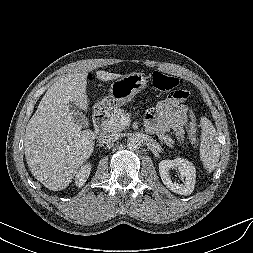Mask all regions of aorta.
Here are the masks:
<instances>
[{"label": "aorta", "mask_w": 253, "mask_h": 253, "mask_svg": "<svg viewBox=\"0 0 253 253\" xmlns=\"http://www.w3.org/2000/svg\"><path fill=\"white\" fill-rule=\"evenodd\" d=\"M140 145H141V142L139 138L136 136H131L127 140V147L130 150H137L140 147Z\"/></svg>", "instance_id": "aorta-1"}]
</instances>
